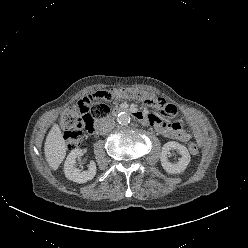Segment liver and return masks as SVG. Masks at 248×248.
I'll list each match as a JSON object with an SVG mask.
<instances>
[{
	"instance_id": "liver-1",
	"label": "liver",
	"mask_w": 248,
	"mask_h": 248,
	"mask_svg": "<svg viewBox=\"0 0 248 248\" xmlns=\"http://www.w3.org/2000/svg\"><path fill=\"white\" fill-rule=\"evenodd\" d=\"M66 149L67 147L63 135L59 127L54 125L49 131L44 145L46 161L53 170H56L64 160Z\"/></svg>"
}]
</instances>
